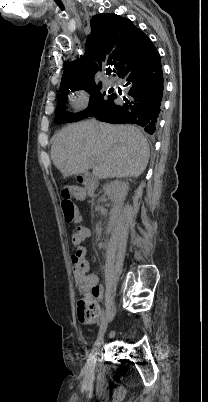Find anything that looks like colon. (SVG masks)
I'll list each match as a JSON object with an SVG mask.
<instances>
[{"instance_id":"colon-1","label":"colon","mask_w":208,"mask_h":402,"mask_svg":"<svg viewBox=\"0 0 208 402\" xmlns=\"http://www.w3.org/2000/svg\"><path fill=\"white\" fill-rule=\"evenodd\" d=\"M61 195L63 198H69L72 195L71 190L68 187H65ZM64 219L66 222L69 223H77L79 218H78V211L73 205H68L66 208V211L64 212ZM88 237V230L87 229H78L76 232H71V240L72 242L75 243L76 246L80 245V242L82 238H87ZM74 252V251H73ZM86 253V250L82 247L79 246L76 249V252L71 255L72 261L74 263L82 262L83 261V255ZM92 293V288L90 287L89 283H84L83 288L80 290V295L77 298V305L83 307V314L81 310H78L79 317L87 319V318H92L98 313V306H97V300L92 299L90 297V294Z\"/></svg>"}]
</instances>
